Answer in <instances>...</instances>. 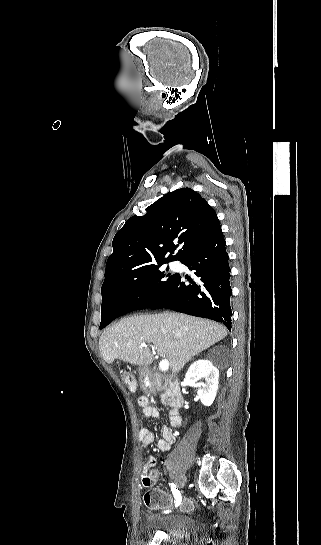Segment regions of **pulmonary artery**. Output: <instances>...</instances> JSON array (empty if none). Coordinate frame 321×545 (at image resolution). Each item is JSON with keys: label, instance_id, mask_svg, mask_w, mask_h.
I'll return each instance as SVG.
<instances>
[{"label": "pulmonary artery", "instance_id": "e3ab8cb5", "mask_svg": "<svg viewBox=\"0 0 321 545\" xmlns=\"http://www.w3.org/2000/svg\"><path fill=\"white\" fill-rule=\"evenodd\" d=\"M169 267H170L171 270L176 271V270H178V269L181 267V264L178 263V262H176V261H174V262H170V263H169Z\"/></svg>", "mask_w": 321, "mask_h": 545}]
</instances>
